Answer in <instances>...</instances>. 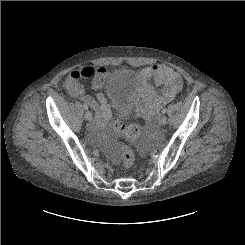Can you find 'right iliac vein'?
Masks as SVG:
<instances>
[{
  "label": "right iliac vein",
  "instance_id": "1",
  "mask_svg": "<svg viewBox=\"0 0 245 245\" xmlns=\"http://www.w3.org/2000/svg\"><path fill=\"white\" fill-rule=\"evenodd\" d=\"M85 118H86V120H88V121H90V120L92 119V114H91L90 111H87V112L85 113Z\"/></svg>",
  "mask_w": 245,
  "mask_h": 245
}]
</instances>
